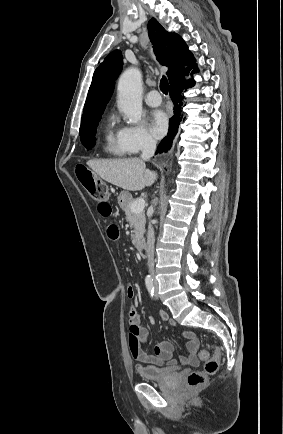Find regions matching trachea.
<instances>
[{"instance_id":"3493384b","label":"trachea","mask_w":283,"mask_h":434,"mask_svg":"<svg viewBox=\"0 0 283 434\" xmlns=\"http://www.w3.org/2000/svg\"><path fill=\"white\" fill-rule=\"evenodd\" d=\"M160 90L167 95L169 90L168 80L165 76L160 80Z\"/></svg>"}]
</instances>
